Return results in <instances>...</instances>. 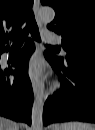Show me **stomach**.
I'll return each instance as SVG.
<instances>
[{
    "mask_svg": "<svg viewBox=\"0 0 95 130\" xmlns=\"http://www.w3.org/2000/svg\"><path fill=\"white\" fill-rule=\"evenodd\" d=\"M52 130H61V127H60V125H54L52 127Z\"/></svg>",
    "mask_w": 95,
    "mask_h": 130,
    "instance_id": "obj_1",
    "label": "stomach"
}]
</instances>
